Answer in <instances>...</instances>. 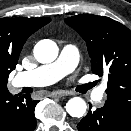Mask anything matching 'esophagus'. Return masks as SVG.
I'll use <instances>...</instances> for the list:
<instances>
[{
  "label": "esophagus",
  "mask_w": 131,
  "mask_h": 131,
  "mask_svg": "<svg viewBox=\"0 0 131 131\" xmlns=\"http://www.w3.org/2000/svg\"><path fill=\"white\" fill-rule=\"evenodd\" d=\"M68 95H70L69 92H59V91H56L50 94V96L53 98H61Z\"/></svg>",
  "instance_id": "obj_1"
}]
</instances>
